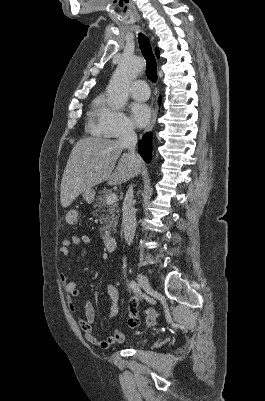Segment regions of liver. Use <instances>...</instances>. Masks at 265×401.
Returning <instances> with one entry per match:
<instances>
[{"label": "liver", "mask_w": 265, "mask_h": 401, "mask_svg": "<svg viewBox=\"0 0 265 401\" xmlns=\"http://www.w3.org/2000/svg\"><path fill=\"white\" fill-rule=\"evenodd\" d=\"M119 140L88 136L73 146L61 180V205L69 207L80 192L108 180L107 184H122L141 170V158L134 162L129 152L122 154Z\"/></svg>", "instance_id": "1"}]
</instances>
